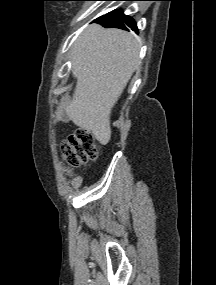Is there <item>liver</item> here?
<instances>
[{
    "label": "liver",
    "mask_w": 216,
    "mask_h": 285,
    "mask_svg": "<svg viewBox=\"0 0 216 285\" xmlns=\"http://www.w3.org/2000/svg\"><path fill=\"white\" fill-rule=\"evenodd\" d=\"M138 53L139 43L131 33L96 24L72 48V74L77 83L65 111L101 144L111 138V111L139 66Z\"/></svg>",
    "instance_id": "1"
}]
</instances>
